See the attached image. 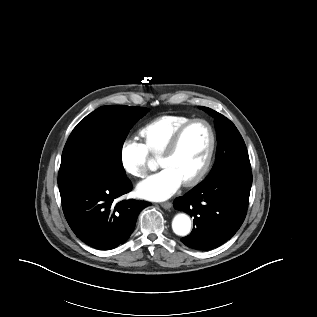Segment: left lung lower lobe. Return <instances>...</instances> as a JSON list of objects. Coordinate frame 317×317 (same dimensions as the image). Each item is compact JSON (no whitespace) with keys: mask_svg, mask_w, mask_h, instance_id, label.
Masks as SVG:
<instances>
[{"mask_svg":"<svg viewBox=\"0 0 317 317\" xmlns=\"http://www.w3.org/2000/svg\"><path fill=\"white\" fill-rule=\"evenodd\" d=\"M251 185V171L234 170L176 198L174 207L194 217L191 235L181 241L192 249L208 250L231 238L245 219Z\"/></svg>","mask_w":317,"mask_h":317,"instance_id":"0a47b994","label":"left lung lower lobe"}]
</instances>
